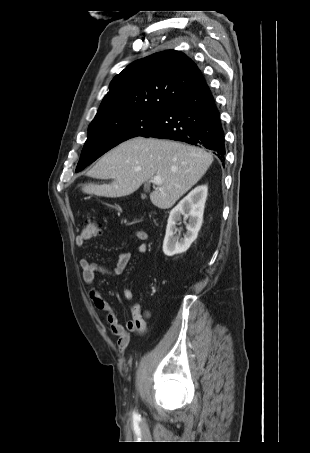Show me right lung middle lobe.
Listing matches in <instances>:
<instances>
[{
  "mask_svg": "<svg viewBox=\"0 0 310 453\" xmlns=\"http://www.w3.org/2000/svg\"><path fill=\"white\" fill-rule=\"evenodd\" d=\"M162 112H121L93 120L88 128V139L82 149L76 172L119 143L139 136L159 119Z\"/></svg>",
  "mask_w": 310,
  "mask_h": 453,
  "instance_id": "dd1d6c3e",
  "label": "right lung middle lobe"
}]
</instances>
